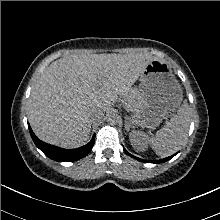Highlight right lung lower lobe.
<instances>
[{
	"label": "right lung lower lobe",
	"instance_id": "right-lung-lower-lobe-1",
	"mask_svg": "<svg viewBox=\"0 0 220 220\" xmlns=\"http://www.w3.org/2000/svg\"><path fill=\"white\" fill-rule=\"evenodd\" d=\"M30 135L35 143V145L49 158L59 161V162H71L79 160L90 153L95 141V135H93L92 140L85 146L78 149L67 150L62 149L50 144H47L39 140L36 135L33 133L30 125H28Z\"/></svg>",
	"mask_w": 220,
	"mask_h": 220
}]
</instances>
